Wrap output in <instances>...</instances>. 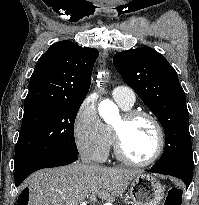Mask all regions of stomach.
I'll return each instance as SVG.
<instances>
[{
    "mask_svg": "<svg viewBox=\"0 0 199 205\" xmlns=\"http://www.w3.org/2000/svg\"><path fill=\"white\" fill-rule=\"evenodd\" d=\"M165 188L154 177L139 174L132 179L129 198L134 205H158L164 198Z\"/></svg>",
    "mask_w": 199,
    "mask_h": 205,
    "instance_id": "stomach-1",
    "label": "stomach"
}]
</instances>
